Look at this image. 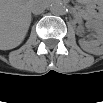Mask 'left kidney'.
Masks as SVG:
<instances>
[{"mask_svg": "<svg viewBox=\"0 0 103 103\" xmlns=\"http://www.w3.org/2000/svg\"><path fill=\"white\" fill-rule=\"evenodd\" d=\"M86 27L95 30L96 32L95 39H92L90 41L80 39L78 41L80 47L84 51L93 53V54L101 52L103 50V24L102 22L91 20V21L86 22Z\"/></svg>", "mask_w": 103, "mask_h": 103, "instance_id": "left-kidney-1", "label": "left kidney"}]
</instances>
